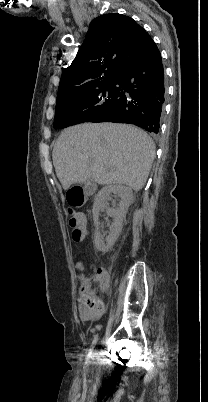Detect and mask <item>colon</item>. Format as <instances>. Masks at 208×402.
Segmentation results:
<instances>
[{
  "label": "colon",
  "mask_w": 208,
  "mask_h": 402,
  "mask_svg": "<svg viewBox=\"0 0 208 402\" xmlns=\"http://www.w3.org/2000/svg\"><path fill=\"white\" fill-rule=\"evenodd\" d=\"M68 224L71 228V237L74 241H81L85 236L84 221L80 213L69 210ZM98 278L84 277L83 282L79 283L77 299L79 301V314H103L104 306L102 299H96Z\"/></svg>",
  "instance_id": "1"
}]
</instances>
